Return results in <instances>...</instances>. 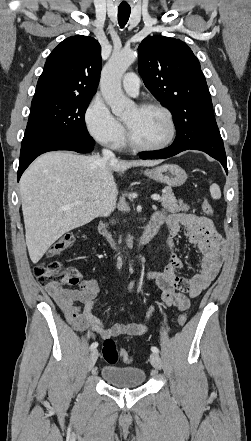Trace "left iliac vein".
<instances>
[{
    "label": "left iliac vein",
    "mask_w": 251,
    "mask_h": 441,
    "mask_svg": "<svg viewBox=\"0 0 251 441\" xmlns=\"http://www.w3.org/2000/svg\"><path fill=\"white\" fill-rule=\"evenodd\" d=\"M150 362L155 369L160 370L162 368V361L157 353H151Z\"/></svg>",
    "instance_id": "1"
}]
</instances>
